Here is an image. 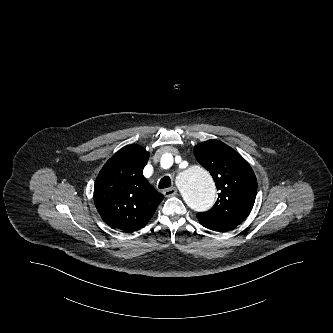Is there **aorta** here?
I'll list each match as a JSON object with an SVG mask.
<instances>
[{
	"label": "aorta",
	"mask_w": 333,
	"mask_h": 333,
	"mask_svg": "<svg viewBox=\"0 0 333 333\" xmlns=\"http://www.w3.org/2000/svg\"><path fill=\"white\" fill-rule=\"evenodd\" d=\"M179 190L185 203L195 211H207L216 199L214 181L207 170L191 164L181 171Z\"/></svg>",
	"instance_id": "762f6f07"
}]
</instances>
